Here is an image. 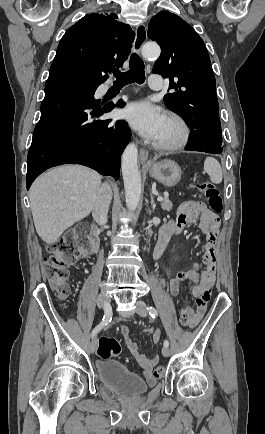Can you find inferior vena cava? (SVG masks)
<instances>
[{
  "label": "inferior vena cava",
  "instance_id": "602c4592",
  "mask_svg": "<svg viewBox=\"0 0 265 434\" xmlns=\"http://www.w3.org/2000/svg\"><path fill=\"white\" fill-rule=\"evenodd\" d=\"M112 200V190L109 184H102L96 198V202L93 206L92 216L97 222L104 226L107 222V214Z\"/></svg>",
  "mask_w": 265,
  "mask_h": 434
}]
</instances>
